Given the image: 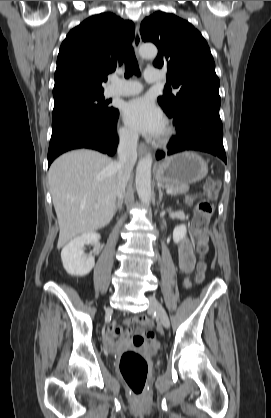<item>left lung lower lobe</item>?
<instances>
[{
  "label": "left lung lower lobe",
  "instance_id": "obj_1",
  "mask_svg": "<svg viewBox=\"0 0 271 418\" xmlns=\"http://www.w3.org/2000/svg\"><path fill=\"white\" fill-rule=\"evenodd\" d=\"M169 117L174 119L177 135L170 140L167 155L197 150L218 156L226 163L219 108L191 106ZM164 156L163 152L156 154L157 159Z\"/></svg>",
  "mask_w": 271,
  "mask_h": 418
}]
</instances>
